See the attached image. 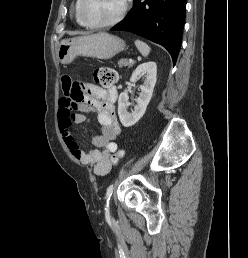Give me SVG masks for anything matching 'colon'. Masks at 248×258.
I'll list each match as a JSON object with an SVG mask.
<instances>
[{
	"label": "colon",
	"mask_w": 248,
	"mask_h": 258,
	"mask_svg": "<svg viewBox=\"0 0 248 258\" xmlns=\"http://www.w3.org/2000/svg\"><path fill=\"white\" fill-rule=\"evenodd\" d=\"M95 79L102 86L109 87L117 81V73L113 69L102 68L95 73ZM76 88L78 91V95H75V99H80L82 96L81 87L79 84H77ZM123 156H124L123 150L117 151L112 157L113 165H116L120 161V159L123 158Z\"/></svg>",
	"instance_id": "obj_1"
}]
</instances>
